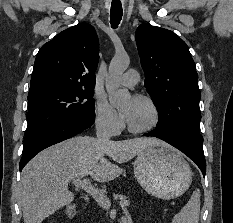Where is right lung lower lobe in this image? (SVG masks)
<instances>
[{"instance_id": "right-lung-lower-lobe-1", "label": "right lung lower lobe", "mask_w": 233, "mask_h": 223, "mask_svg": "<svg viewBox=\"0 0 233 223\" xmlns=\"http://www.w3.org/2000/svg\"><path fill=\"white\" fill-rule=\"evenodd\" d=\"M94 119V113L79 114L46 128L25 140L23 156L19 164L20 171L41 150L81 133L93 125Z\"/></svg>"}]
</instances>
